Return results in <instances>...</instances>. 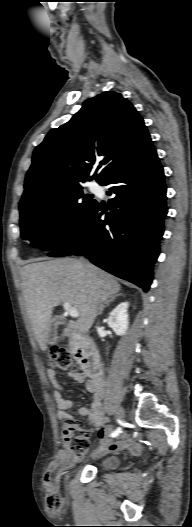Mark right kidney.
I'll use <instances>...</instances> for the list:
<instances>
[{
    "instance_id": "obj_1",
    "label": "right kidney",
    "mask_w": 192,
    "mask_h": 527,
    "mask_svg": "<svg viewBox=\"0 0 192 527\" xmlns=\"http://www.w3.org/2000/svg\"><path fill=\"white\" fill-rule=\"evenodd\" d=\"M129 304L127 302L120 303L109 315L107 323L113 331L121 336L124 335L128 329V309Z\"/></svg>"
}]
</instances>
